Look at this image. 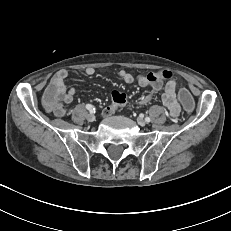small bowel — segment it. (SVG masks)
<instances>
[{
	"instance_id": "c3829d8e",
	"label": "small bowel",
	"mask_w": 231,
	"mask_h": 231,
	"mask_svg": "<svg viewBox=\"0 0 231 231\" xmlns=\"http://www.w3.org/2000/svg\"><path fill=\"white\" fill-rule=\"evenodd\" d=\"M85 74L87 76H93L95 74V69L92 67H87L85 69ZM67 76L68 72L66 70H60L52 77L50 82L56 84L59 87V92L55 95V105L48 109L59 117L64 116L66 113V109L64 108L63 104H69L73 102L75 95V89L73 87L69 88L66 85ZM118 77L124 83L131 84L136 82L139 86L150 89L148 94L142 96L136 101L138 105L148 104L152 100L153 96L163 88L164 92L162 95V101L168 109L170 117L175 118L179 115L181 107L178 103L177 82L175 79L169 80L164 85L162 79L158 77L157 72L149 73L146 75L139 74L135 76L126 70H120L118 72ZM115 109L116 107L111 105L106 108L105 113L111 114Z\"/></svg>"
}]
</instances>
